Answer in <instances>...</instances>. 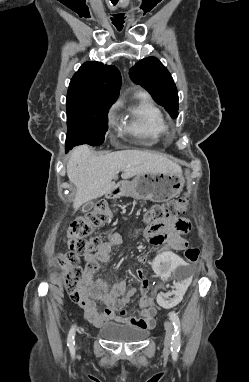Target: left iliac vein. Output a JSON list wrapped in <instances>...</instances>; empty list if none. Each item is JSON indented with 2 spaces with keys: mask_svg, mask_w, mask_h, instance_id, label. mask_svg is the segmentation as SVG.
<instances>
[{
  "mask_svg": "<svg viewBox=\"0 0 249 382\" xmlns=\"http://www.w3.org/2000/svg\"><path fill=\"white\" fill-rule=\"evenodd\" d=\"M164 326H165L164 346H165V350L169 351L171 347V340L173 335V325L170 321H166Z\"/></svg>",
  "mask_w": 249,
  "mask_h": 382,
  "instance_id": "4c4485c4",
  "label": "left iliac vein"
}]
</instances>
